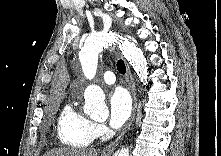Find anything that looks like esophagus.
Here are the masks:
<instances>
[{
  "label": "esophagus",
  "mask_w": 221,
  "mask_h": 156,
  "mask_svg": "<svg viewBox=\"0 0 221 156\" xmlns=\"http://www.w3.org/2000/svg\"><path fill=\"white\" fill-rule=\"evenodd\" d=\"M125 65H126V71H127V80H128V84H129V89L133 98V113H132V117L131 120L127 126V128L121 133V135L112 143H110L108 146H106L103 151H102V156H111V154L114 152V150L116 149V147L118 146V144L120 143V141L122 140L125 132L127 131V129L129 128V126L131 125L132 121L134 120L135 117V113L137 110V92H136V86H135V81L132 75V72L130 70V67L128 65V63L125 61Z\"/></svg>",
  "instance_id": "34e87169"
}]
</instances>
